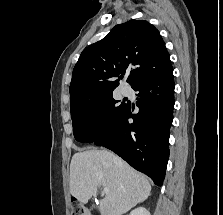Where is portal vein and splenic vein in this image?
Listing matches in <instances>:
<instances>
[{"instance_id": "portal-vein-and-splenic-vein-1", "label": "portal vein and splenic vein", "mask_w": 223, "mask_h": 215, "mask_svg": "<svg viewBox=\"0 0 223 215\" xmlns=\"http://www.w3.org/2000/svg\"><path fill=\"white\" fill-rule=\"evenodd\" d=\"M103 191H104V193H109L108 187H103Z\"/></svg>"}]
</instances>
